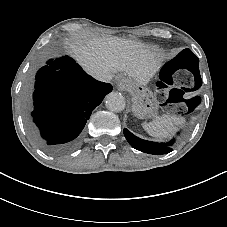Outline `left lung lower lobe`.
I'll list each match as a JSON object with an SVG mask.
<instances>
[{"mask_svg": "<svg viewBox=\"0 0 227 227\" xmlns=\"http://www.w3.org/2000/svg\"><path fill=\"white\" fill-rule=\"evenodd\" d=\"M123 132L130 145L139 151L154 155L167 154L172 151L171 146L174 143V139L169 143H157L142 140L127 129H124Z\"/></svg>", "mask_w": 227, "mask_h": 227, "instance_id": "obj_1", "label": "left lung lower lobe"}]
</instances>
